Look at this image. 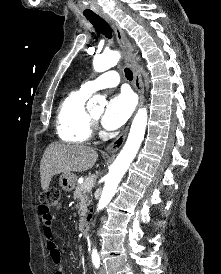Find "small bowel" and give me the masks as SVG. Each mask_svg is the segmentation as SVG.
<instances>
[{
    "mask_svg": "<svg viewBox=\"0 0 221 274\" xmlns=\"http://www.w3.org/2000/svg\"><path fill=\"white\" fill-rule=\"evenodd\" d=\"M38 212L40 215L41 229L45 239L46 248L52 262L57 266L54 274H64V269L61 265L62 254L53 236L55 215L50 211V208L44 204L38 206Z\"/></svg>",
    "mask_w": 221,
    "mask_h": 274,
    "instance_id": "obj_1",
    "label": "small bowel"
}]
</instances>
